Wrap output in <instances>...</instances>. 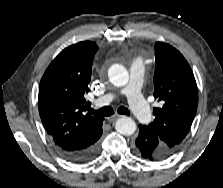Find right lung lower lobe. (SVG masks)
I'll use <instances>...</instances> for the list:
<instances>
[{
    "label": "right lung lower lobe",
    "mask_w": 223,
    "mask_h": 188,
    "mask_svg": "<svg viewBox=\"0 0 223 188\" xmlns=\"http://www.w3.org/2000/svg\"><path fill=\"white\" fill-rule=\"evenodd\" d=\"M102 132L92 139L89 143L79 148H65L55 146L57 152L65 159L74 163H86L92 160L99 151V138Z\"/></svg>",
    "instance_id": "1"
}]
</instances>
